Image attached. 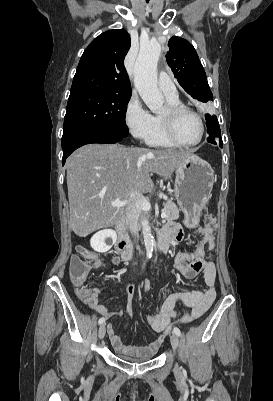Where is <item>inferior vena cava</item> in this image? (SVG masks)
<instances>
[{
  "mask_svg": "<svg viewBox=\"0 0 273 401\" xmlns=\"http://www.w3.org/2000/svg\"><path fill=\"white\" fill-rule=\"evenodd\" d=\"M133 196H136L134 198L133 203L131 205H128L126 209V223L129 227V231L133 237H136L138 235V207H137V201H140V198H142L141 192L139 190H133L132 192Z\"/></svg>",
  "mask_w": 273,
  "mask_h": 401,
  "instance_id": "1",
  "label": "inferior vena cava"
}]
</instances>
